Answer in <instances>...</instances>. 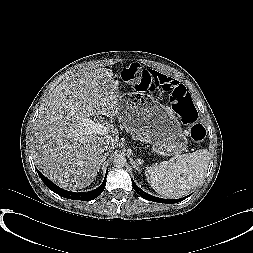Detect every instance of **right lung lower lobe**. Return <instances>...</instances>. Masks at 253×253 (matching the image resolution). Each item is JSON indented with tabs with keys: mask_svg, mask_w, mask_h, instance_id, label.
Instances as JSON below:
<instances>
[{
	"mask_svg": "<svg viewBox=\"0 0 253 253\" xmlns=\"http://www.w3.org/2000/svg\"><path fill=\"white\" fill-rule=\"evenodd\" d=\"M37 172H38L40 178L42 179V181L45 183V185L50 190H52L53 192L57 193L58 195H60L62 197L68 198V199L85 200V201L93 200L103 192L105 185H106L107 173L105 175L103 183L97 189L89 191L87 193L86 192H84V193L69 192V191L63 190L60 187H58L57 185H55L53 182H51L49 179H47L43 174H41L40 171L37 170Z\"/></svg>",
	"mask_w": 253,
	"mask_h": 253,
	"instance_id": "1",
	"label": "right lung lower lobe"
}]
</instances>
